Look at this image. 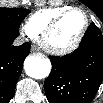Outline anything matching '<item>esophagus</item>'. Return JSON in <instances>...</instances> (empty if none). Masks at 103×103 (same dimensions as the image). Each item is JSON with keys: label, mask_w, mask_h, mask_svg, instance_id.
<instances>
[{"label": "esophagus", "mask_w": 103, "mask_h": 103, "mask_svg": "<svg viewBox=\"0 0 103 103\" xmlns=\"http://www.w3.org/2000/svg\"><path fill=\"white\" fill-rule=\"evenodd\" d=\"M31 50L32 52H37V48L35 46H32Z\"/></svg>", "instance_id": "1"}]
</instances>
